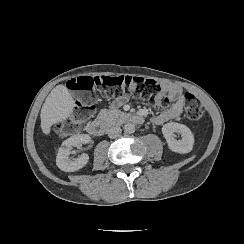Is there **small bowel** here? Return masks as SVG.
I'll return each instance as SVG.
<instances>
[{"label":"small bowel","mask_w":244,"mask_h":244,"mask_svg":"<svg viewBox=\"0 0 244 244\" xmlns=\"http://www.w3.org/2000/svg\"><path fill=\"white\" fill-rule=\"evenodd\" d=\"M162 88L166 93L170 105L153 117L152 121L156 125H163L167 122L178 120L182 116L186 104L185 96L179 85L171 82H164ZM128 100L129 95L124 94L116 98L114 104L116 106H121Z\"/></svg>","instance_id":"obj_1"}]
</instances>
